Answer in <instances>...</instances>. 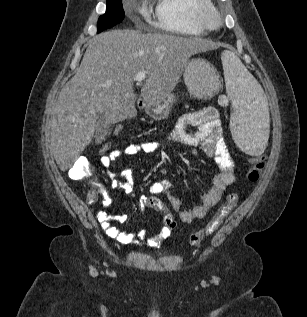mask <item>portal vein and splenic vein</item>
<instances>
[{
	"label": "portal vein and splenic vein",
	"instance_id": "obj_1",
	"mask_svg": "<svg viewBox=\"0 0 307 317\" xmlns=\"http://www.w3.org/2000/svg\"><path fill=\"white\" fill-rule=\"evenodd\" d=\"M145 78H146V73H144V72H139V73H137L136 76H135V81H137V82H142V81L145 80Z\"/></svg>",
	"mask_w": 307,
	"mask_h": 317
}]
</instances>
